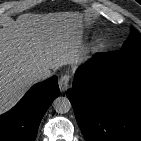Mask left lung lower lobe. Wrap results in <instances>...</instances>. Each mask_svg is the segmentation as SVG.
I'll use <instances>...</instances> for the list:
<instances>
[{"mask_svg": "<svg viewBox=\"0 0 141 141\" xmlns=\"http://www.w3.org/2000/svg\"><path fill=\"white\" fill-rule=\"evenodd\" d=\"M67 97L87 141H141V48L94 55Z\"/></svg>", "mask_w": 141, "mask_h": 141, "instance_id": "obj_1", "label": "left lung lower lobe"}]
</instances>
